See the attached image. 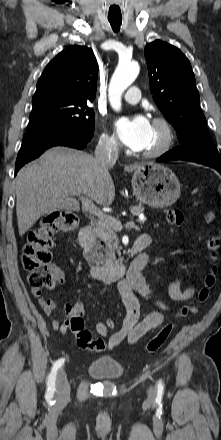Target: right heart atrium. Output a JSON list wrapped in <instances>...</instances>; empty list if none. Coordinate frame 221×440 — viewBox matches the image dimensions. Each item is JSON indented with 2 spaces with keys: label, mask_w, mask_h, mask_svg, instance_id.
<instances>
[{
  "label": "right heart atrium",
  "mask_w": 221,
  "mask_h": 440,
  "mask_svg": "<svg viewBox=\"0 0 221 440\" xmlns=\"http://www.w3.org/2000/svg\"><path fill=\"white\" fill-rule=\"evenodd\" d=\"M99 145L104 151L110 153L117 152L120 147L117 136L113 133H110L105 128L102 129L100 134Z\"/></svg>",
  "instance_id": "right-heart-atrium-1"
}]
</instances>
